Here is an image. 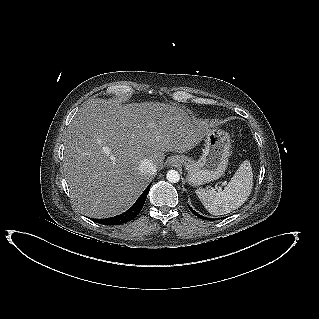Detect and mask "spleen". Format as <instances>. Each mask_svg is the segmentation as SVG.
Instances as JSON below:
<instances>
[{"label": "spleen", "mask_w": 319, "mask_h": 319, "mask_svg": "<svg viewBox=\"0 0 319 319\" xmlns=\"http://www.w3.org/2000/svg\"><path fill=\"white\" fill-rule=\"evenodd\" d=\"M253 188V172L250 161H243L221 191L200 188L196 195L204 207L213 215H224L242 206Z\"/></svg>", "instance_id": "obj_1"}]
</instances>
